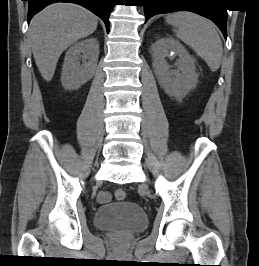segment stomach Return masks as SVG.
Returning <instances> with one entry per match:
<instances>
[{
  "instance_id": "obj_1",
  "label": "stomach",
  "mask_w": 259,
  "mask_h": 266,
  "mask_svg": "<svg viewBox=\"0 0 259 266\" xmlns=\"http://www.w3.org/2000/svg\"><path fill=\"white\" fill-rule=\"evenodd\" d=\"M166 22L169 23V24H173L172 14H171V15H168V16L166 17Z\"/></svg>"
}]
</instances>
